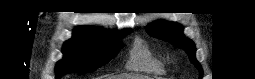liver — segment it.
Here are the masks:
<instances>
[{"label":"liver","instance_id":"1","mask_svg":"<svg viewBox=\"0 0 255 79\" xmlns=\"http://www.w3.org/2000/svg\"><path fill=\"white\" fill-rule=\"evenodd\" d=\"M140 76L136 75H119V76H108L104 79H139Z\"/></svg>","mask_w":255,"mask_h":79}]
</instances>
